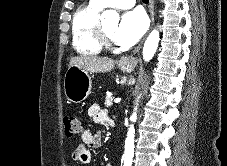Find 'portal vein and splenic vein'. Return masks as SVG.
Returning <instances> with one entry per match:
<instances>
[{
	"instance_id": "1",
	"label": "portal vein and splenic vein",
	"mask_w": 227,
	"mask_h": 166,
	"mask_svg": "<svg viewBox=\"0 0 227 166\" xmlns=\"http://www.w3.org/2000/svg\"><path fill=\"white\" fill-rule=\"evenodd\" d=\"M120 100H121L120 98L116 99V100H115V103L120 102Z\"/></svg>"
}]
</instances>
